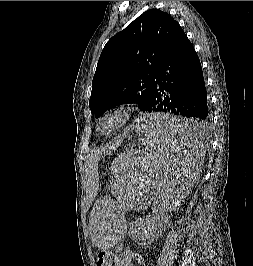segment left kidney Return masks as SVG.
Listing matches in <instances>:
<instances>
[{
    "instance_id": "obj_1",
    "label": "left kidney",
    "mask_w": 253,
    "mask_h": 266,
    "mask_svg": "<svg viewBox=\"0 0 253 266\" xmlns=\"http://www.w3.org/2000/svg\"><path fill=\"white\" fill-rule=\"evenodd\" d=\"M159 223L160 219L154 216L134 221L128 228V235L131 240L138 244L149 243L157 236L156 230Z\"/></svg>"
}]
</instances>
